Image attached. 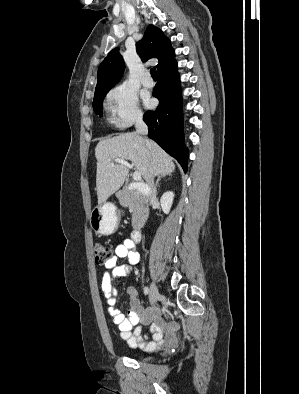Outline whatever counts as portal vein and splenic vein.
<instances>
[{"label": "portal vein and splenic vein", "mask_w": 299, "mask_h": 394, "mask_svg": "<svg viewBox=\"0 0 299 394\" xmlns=\"http://www.w3.org/2000/svg\"><path fill=\"white\" fill-rule=\"evenodd\" d=\"M110 161H111V162H115V163L122 164V165L126 166V167L129 168V169H133V165L129 164V163H128L127 161H125L124 159L116 158V159H113V160H110ZM133 179H134L135 181H137V182L140 184V182H141V180H142L141 174H140L138 171H135V172L133 173Z\"/></svg>", "instance_id": "18ae733b"}]
</instances>
